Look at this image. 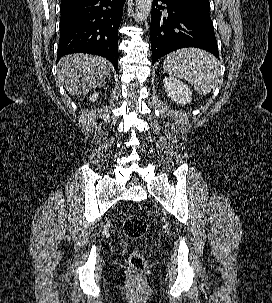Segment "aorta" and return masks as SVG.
I'll list each match as a JSON object with an SVG mask.
<instances>
[{
    "mask_svg": "<svg viewBox=\"0 0 272 303\" xmlns=\"http://www.w3.org/2000/svg\"><path fill=\"white\" fill-rule=\"evenodd\" d=\"M153 0H136V21L143 22L147 19L152 8Z\"/></svg>",
    "mask_w": 272,
    "mask_h": 303,
    "instance_id": "obj_1",
    "label": "aorta"
}]
</instances>
